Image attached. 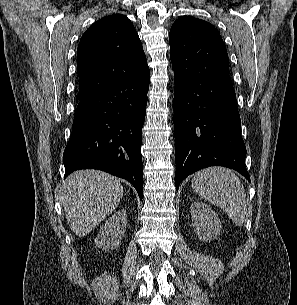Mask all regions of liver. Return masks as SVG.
<instances>
[{
	"mask_svg": "<svg viewBox=\"0 0 297 305\" xmlns=\"http://www.w3.org/2000/svg\"><path fill=\"white\" fill-rule=\"evenodd\" d=\"M122 196L120 179L99 170H79L66 178L60 200L70 228L83 237L115 210Z\"/></svg>",
	"mask_w": 297,
	"mask_h": 305,
	"instance_id": "liver-1",
	"label": "liver"
}]
</instances>
